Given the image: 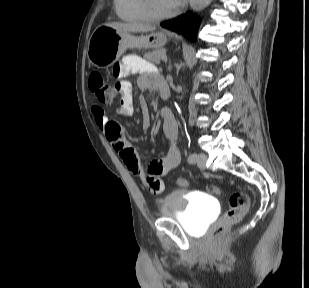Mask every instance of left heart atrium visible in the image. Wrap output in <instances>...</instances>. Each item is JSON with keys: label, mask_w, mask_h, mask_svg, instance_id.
Returning a JSON list of instances; mask_svg holds the SVG:
<instances>
[{"label": "left heart atrium", "mask_w": 309, "mask_h": 288, "mask_svg": "<svg viewBox=\"0 0 309 288\" xmlns=\"http://www.w3.org/2000/svg\"><path fill=\"white\" fill-rule=\"evenodd\" d=\"M169 3L172 5L173 8H176L181 5L183 0H168Z\"/></svg>", "instance_id": "left-heart-atrium-1"}]
</instances>
